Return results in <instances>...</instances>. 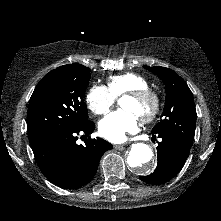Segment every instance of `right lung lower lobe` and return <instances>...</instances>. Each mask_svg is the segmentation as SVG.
<instances>
[{
	"label": "right lung lower lobe",
	"mask_w": 221,
	"mask_h": 221,
	"mask_svg": "<svg viewBox=\"0 0 221 221\" xmlns=\"http://www.w3.org/2000/svg\"><path fill=\"white\" fill-rule=\"evenodd\" d=\"M95 129L92 121L82 126L46 134L31 142L36 162L41 172L55 185L65 189H76L87 184L95 175L104 152L112 144L97 137L78 145V135L88 136Z\"/></svg>",
	"instance_id": "right-lung-lower-lobe-1"
}]
</instances>
